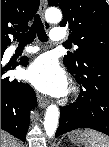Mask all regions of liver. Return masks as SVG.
<instances>
[{"mask_svg":"<svg viewBox=\"0 0 109 147\" xmlns=\"http://www.w3.org/2000/svg\"><path fill=\"white\" fill-rule=\"evenodd\" d=\"M1 147H21V143L7 132L2 131Z\"/></svg>","mask_w":109,"mask_h":147,"instance_id":"liver-1","label":"liver"}]
</instances>
